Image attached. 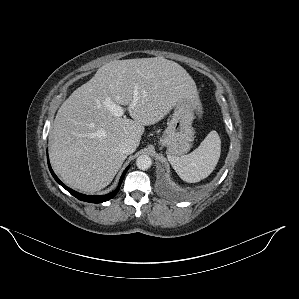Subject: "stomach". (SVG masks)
<instances>
[{"instance_id": "1", "label": "stomach", "mask_w": 299, "mask_h": 299, "mask_svg": "<svg viewBox=\"0 0 299 299\" xmlns=\"http://www.w3.org/2000/svg\"><path fill=\"white\" fill-rule=\"evenodd\" d=\"M196 110L197 106L191 99L181 100L174 106V112L160 139V144L167 148L168 156H181L190 150L194 140L192 123Z\"/></svg>"}]
</instances>
